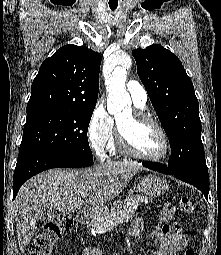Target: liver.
Here are the masks:
<instances>
[{
  "label": "liver",
  "mask_w": 221,
  "mask_h": 255,
  "mask_svg": "<svg viewBox=\"0 0 221 255\" xmlns=\"http://www.w3.org/2000/svg\"><path fill=\"white\" fill-rule=\"evenodd\" d=\"M140 170L131 162L116 161L81 170L51 169L29 179L14 201L20 251H25L47 210L68 213L85 206L101 211Z\"/></svg>",
  "instance_id": "6515ba94"
}]
</instances>
